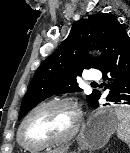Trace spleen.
Listing matches in <instances>:
<instances>
[{"mask_svg":"<svg viewBox=\"0 0 130 153\" xmlns=\"http://www.w3.org/2000/svg\"><path fill=\"white\" fill-rule=\"evenodd\" d=\"M115 114L119 121L117 135L130 147V109L117 107L115 108Z\"/></svg>","mask_w":130,"mask_h":153,"instance_id":"spleen-1","label":"spleen"}]
</instances>
